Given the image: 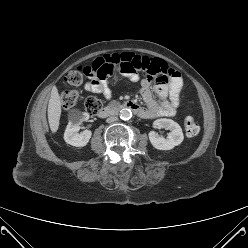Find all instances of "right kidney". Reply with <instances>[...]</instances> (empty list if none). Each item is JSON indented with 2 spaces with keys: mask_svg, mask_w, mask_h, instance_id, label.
<instances>
[{
  "mask_svg": "<svg viewBox=\"0 0 248 248\" xmlns=\"http://www.w3.org/2000/svg\"><path fill=\"white\" fill-rule=\"evenodd\" d=\"M88 119L89 115L87 113L75 111L71 113L69 123L64 133V140L66 143L76 147H83L89 142L92 135L90 130L78 133L80 130V124Z\"/></svg>",
  "mask_w": 248,
  "mask_h": 248,
  "instance_id": "right-kidney-1",
  "label": "right kidney"
}]
</instances>
